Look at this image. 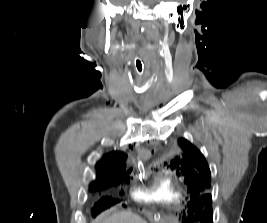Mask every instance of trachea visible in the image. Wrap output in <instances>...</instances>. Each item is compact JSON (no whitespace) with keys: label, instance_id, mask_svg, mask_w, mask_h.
Returning <instances> with one entry per match:
<instances>
[{"label":"trachea","instance_id":"obj_1","mask_svg":"<svg viewBox=\"0 0 267 223\" xmlns=\"http://www.w3.org/2000/svg\"><path fill=\"white\" fill-rule=\"evenodd\" d=\"M138 70L141 72L142 71V65L138 67Z\"/></svg>","mask_w":267,"mask_h":223}]
</instances>
